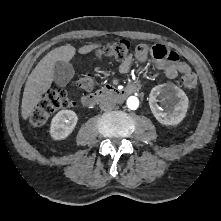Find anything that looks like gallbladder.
I'll use <instances>...</instances> for the list:
<instances>
[{
	"label": "gallbladder",
	"instance_id": "gallbladder-1",
	"mask_svg": "<svg viewBox=\"0 0 221 221\" xmlns=\"http://www.w3.org/2000/svg\"><path fill=\"white\" fill-rule=\"evenodd\" d=\"M75 74L72 64L64 61H57L54 65V81L58 86H65Z\"/></svg>",
	"mask_w": 221,
	"mask_h": 221
}]
</instances>
